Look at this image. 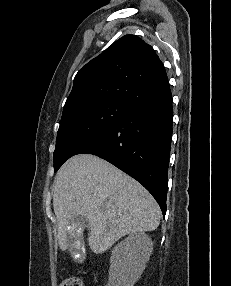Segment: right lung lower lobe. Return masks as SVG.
Listing matches in <instances>:
<instances>
[{
    "instance_id": "obj_1",
    "label": "right lung lower lobe",
    "mask_w": 231,
    "mask_h": 286,
    "mask_svg": "<svg viewBox=\"0 0 231 286\" xmlns=\"http://www.w3.org/2000/svg\"><path fill=\"white\" fill-rule=\"evenodd\" d=\"M128 113L81 148L140 182L166 214L173 108L168 80L127 103Z\"/></svg>"
}]
</instances>
